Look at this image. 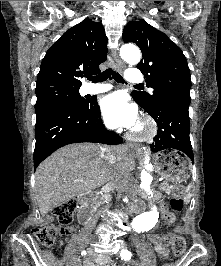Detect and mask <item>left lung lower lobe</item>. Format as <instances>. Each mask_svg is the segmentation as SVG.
Here are the masks:
<instances>
[{
	"label": "left lung lower lobe",
	"instance_id": "1",
	"mask_svg": "<svg viewBox=\"0 0 221 266\" xmlns=\"http://www.w3.org/2000/svg\"><path fill=\"white\" fill-rule=\"evenodd\" d=\"M137 103V102H136ZM189 105L164 102L156 112H148L158 125V133L150 147L152 151L178 150L194 160L189 137Z\"/></svg>",
	"mask_w": 221,
	"mask_h": 266
}]
</instances>
